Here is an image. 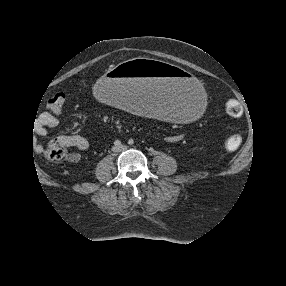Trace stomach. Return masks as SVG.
<instances>
[{
  "mask_svg": "<svg viewBox=\"0 0 286 286\" xmlns=\"http://www.w3.org/2000/svg\"><path fill=\"white\" fill-rule=\"evenodd\" d=\"M92 92L101 103L175 125L197 122L209 105L208 90L200 79L148 58L118 63L95 80Z\"/></svg>",
  "mask_w": 286,
  "mask_h": 286,
  "instance_id": "stomach-1",
  "label": "stomach"
}]
</instances>
